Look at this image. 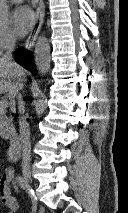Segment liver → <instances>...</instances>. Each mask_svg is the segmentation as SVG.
<instances>
[{
  "label": "liver",
  "mask_w": 128,
  "mask_h": 213,
  "mask_svg": "<svg viewBox=\"0 0 128 213\" xmlns=\"http://www.w3.org/2000/svg\"><path fill=\"white\" fill-rule=\"evenodd\" d=\"M25 81V71L21 67L14 69L0 58V94L9 93L21 87Z\"/></svg>",
  "instance_id": "1"
}]
</instances>
